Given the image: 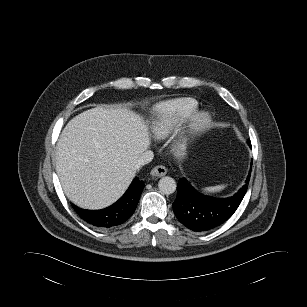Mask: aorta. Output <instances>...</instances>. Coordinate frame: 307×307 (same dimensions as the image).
<instances>
[{
    "instance_id": "obj_1",
    "label": "aorta",
    "mask_w": 307,
    "mask_h": 307,
    "mask_svg": "<svg viewBox=\"0 0 307 307\" xmlns=\"http://www.w3.org/2000/svg\"><path fill=\"white\" fill-rule=\"evenodd\" d=\"M158 187L161 193L172 194L176 191L177 185L172 177L165 176L159 180Z\"/></svg>"
}]
</instances>
